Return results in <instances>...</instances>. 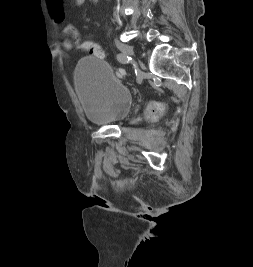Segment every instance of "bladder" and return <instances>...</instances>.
Instances as JSON below:
<instances>
[{
  "label": "bladder",
  "instance_id": "31cf9c89",
  "mask_svg": "<svg viewBox=\"0 0 253 267\" xmlns=\"http://www.w3.org/2000/svg\"><path fill=\"white\" fill-rule=\"evenodd\" d=\"M75 85L86 119L98 125L118 120L133 100L130 89L103 59L83 58L75 71Z\"/></svg>",
  "mask_w": 253,
  "mask_h": 267
}]
</instances>
